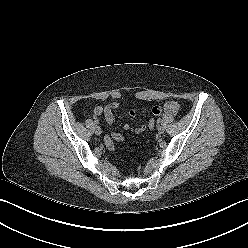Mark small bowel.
Here are the masks:
<instances>
[{
    "instance_id": "obj_1",
    "label": "small bowel",
    "mask_w": 248,
    "mask_h": 248,
    "mask_svg": "<svg viewBox=\"0 0 248 248\" xmlns=\"http://www.w3.org/2000/svg\"><path fill=\"white\" fill-rule=\"evenodd\" d=\"M118 104L116 102L107 104L105 106H96L94 109V114L96 116H101L104 115L106 121L108 124H112L114 122V115H113V110L117 108ZM178 109V105L175 102H168L164 104L163 106L160 105H155L153 107H150L148 109H145L144 112L150 113L155 116H160L163 113L167 114H174L176 113ZM129 114L132 117H135L137 114L136 110H130ZM147 128V123L143 122L141 125H139L136 128H133L131 125L126 124L124 126V129L127 131H134L136 133H142L146 130Z\"/></svg>"
}]
</instances>
